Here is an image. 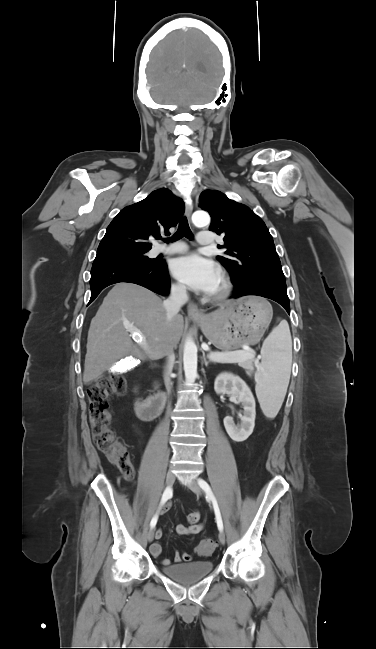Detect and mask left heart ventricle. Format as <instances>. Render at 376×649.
Segmentation results:
<instances>
[{"label": "left heart ventricle", "instance_id": "left-heart-ventricle-1", "mask_svg": "<svg viewBox=\"0 0 376 649\" xmlns=\"http://www.w3.org/2000/svg\"><path fill=\"white\" fill-rule=\"evenodd\" d=\"M219 286H220V282L218 283V285H217V287H216V289L214 291H216L219 288Z\"/></svg>", "mask_w": 376, "mask_h": 649}]
</instances>
